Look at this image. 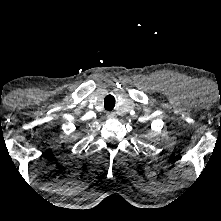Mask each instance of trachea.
<instances>
[{"label":"trachea","mask_w":221,"mask_h":221,"mask_svg":"<svg viewBox=\"0 0 221 221\" xmlns=\"http://www.w3.org/2000/svg\"><path fill=\"white\" fill-rule=\"evenodd\" d=\"M105 110L111 111L115 107V97L113 95H107L104 99Z\"/></svg>","instance_id":"1"}]
</instances>
